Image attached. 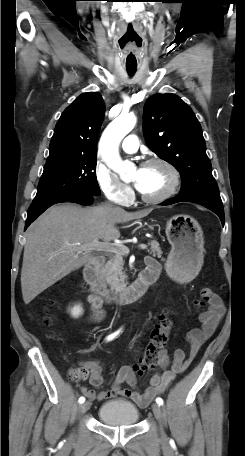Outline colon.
I'll use <instances>...</instances> for the list:
<instances>
[{
    "label": "colon",
    "mask_w": 245,
    "mask_h": 456,
    "mask_svg": "<svg viewBox=\"0 0 245 456\" xmlns=\"http://www.w3.org/2000/svg\"><path fill=\"white\" fill-rule=\"evenodd\" d=\"M46 324H50L51 320L46 319ZM172 327V321L168 315H162L159 320L154 324L150 333V339L146 345L144 355L140 362L134 367V371L138 375H142L156 367L160 363L165 347L168 342L169 332ZM87 375L85 369H75L71 373L73 380H80Z\"/></svg>",
    "instance_id": "colon-1"
}]
</instances>
